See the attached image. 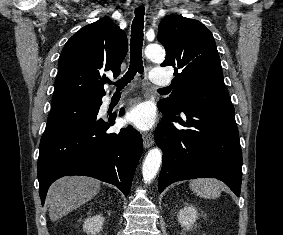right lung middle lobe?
Masks as SVG:
<instances>
[{"mask_svg":"<svg viewBox=\"0 0 283 235\" xmlns=\"http://www.w3.org/2000/svg\"><path fill=\"white\" fill-rule=\"evenodd\" d=\"M99 101V98H73L53 103L45 132L87 117Z\"/></svg>","mask_w":283,"mask_h":235,"instance_id":"obj_1","label":"right lung middle lobe"}]
</instances>
